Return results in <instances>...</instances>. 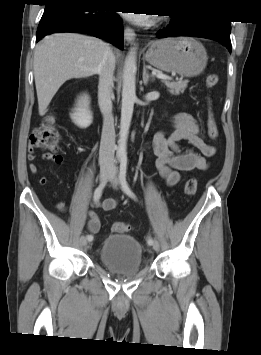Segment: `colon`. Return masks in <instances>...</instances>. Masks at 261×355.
Segmentation results:
<instances>
[{
    "label": "colon",
    "instance_id": "colon-1",
    "mask_svg": "<svg viewBox=\"0 0 261 355\" xmlns=\"http://www.w3.org/2000/svg\"><path fill=\"white\" fill-rule=\"evenodd\" d=\"M218 77L216 74H210L206 78V86L213 87L217 84ZM207 133L210 139L215 140L218 136V130L215 123L214 113L210 107L207 112ZM61 134L52 120L43 121L36 127L30 135V144L32 147L49 152H55L61 143ZM197 180L195 178H188L185 182L184 192L187 196H193L197 191ZM131 226L124 222H115L111 226L113 233L122 234L129 232Z\"/></svg>",
    "mask_w": 261,
    "mask_h": 355
}]
</instances>
